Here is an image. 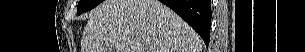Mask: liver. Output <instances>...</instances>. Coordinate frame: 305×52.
Returning a JSON list of instances; mask_svg holds the SVG:
<instances>
[{
    "label": "liver",
    "mask_w": 305,
    "mask_h": 52,
    "mask_svg": "<svg viewBox=\"0 0 305 52\" xmlns=\"http://www.w3.org/2000/svg\"><path fill=\"white\" fill-rule=\"evenodd\" d=\"M200 36L157 0H105L90 14L81 52H201Z\"/></svg>",
    "instance_id": "liver-1"
}]
</instances>
